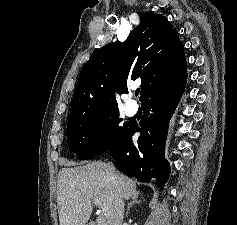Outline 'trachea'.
<instances>
[{
	"label": "trachea",
	"instance_id": "3493384b",
	"mask_svg": "<svg viewBox=\"0 0 237 225\" xmlns=\"http://www.w3.org/2000/svg\"><path fill=\"white\" fill-rule=\"evenodd\" d=\"M139 92H140V90H136V95H138V94H139Z\"/></svg>",
	"mask_w": 237,
	"mask_h": 225
}]
</instances>
